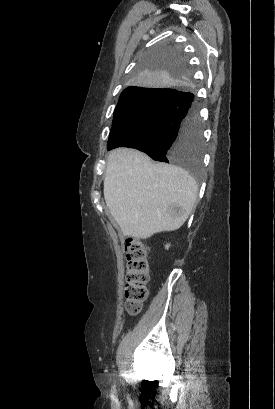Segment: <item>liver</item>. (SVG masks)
Returning <instances> with one entry per match:
<instances>
[{
  "label": "liver",
  "instance_id": "obj_1",
  "mask_svg": "<svg viewBox=\"0 0 275 409\" xmlns=\"http://www.w3.org/2000/svg\"><path fill=\"white\" fill-rule=\"evenodd\" d=\"M197 182L185 168L157 162L134 148H115L107 158L104 178L106 205L123 235L148 239L176 231L187 221L197 198ZM172 205L182 217H171Z\"/></svg>",
  "mask_w": 275,
  "mask_h": 409
}]
</instances>
